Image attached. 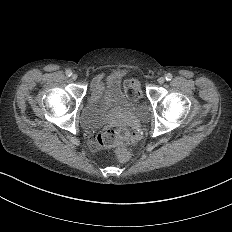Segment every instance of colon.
<instances>
[{
  "instance_id": "obj_1",
  "label": "colon",
  "mask_w": 232,
  "mask_h": 232,
  "mask_svg": "<svg viewBox=\"0 0 232 232\" xmlns=\"http://www.w3.org/2000/svg\"><path fill=\"white\" fill-rule=\"evenodd\" d=\"M123 94L127 98L138 95V83L135 79H124ZM137 139V129L128 120H121L112 125L109 130L100 131L95 137V144L104 152L113 151L116 146H125Z\"/></svg>"
}]
</instances>
